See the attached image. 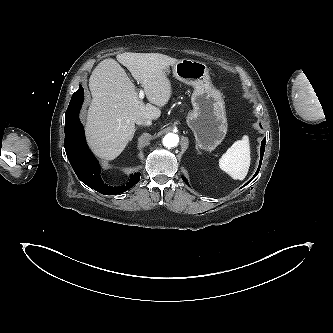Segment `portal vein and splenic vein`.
I'll return each instance as SVG.
<instances>
[{
  "label": "portal vein and splenic vein",
  "instance_id": "18ae733b",
  "mask_svg": "<svg viewBox=\"0 0 333 333\" xmlns=\"http://www.w3.org/2000/svg\"><path fill=\"white\" fill-rule=\"evenodd\" d=\"M139 98L142 100L144 98V91L140 89Z\"/></svg>",
  "mask_w": 333,
  "mask_h": 333
}]
</instances>
